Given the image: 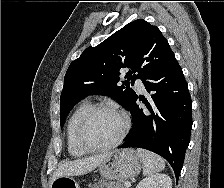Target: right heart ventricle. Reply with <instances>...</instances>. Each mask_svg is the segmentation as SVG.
Wrapping results in <instances>:
<instances>
[{"mask_svg":"<svg viewBox=\"0 0 224 188\" xmlns=\"http://www.w3.org/2000/svg\"><path fill=\"white\" fill-rule=\"evenodd\" d=\"M91 106L92 105L89 101H83L76 107L68 120L66 129V143L68 152L73 157H80L87 153V151L84 150L77 142L76 130L80 119Z\"/></svg>","mask_w":224,"mask_h":188,"instance_id":"obj_1","label":"right heart ventricle"}]
</instances>
